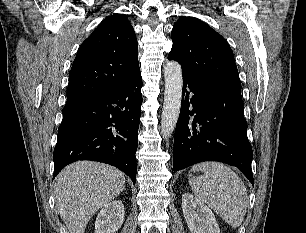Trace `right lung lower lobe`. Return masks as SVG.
I'll return each instance as SVG.
<instances>
[{
    "label": "right lung lower lobe",
    "mask_w": 306,
    "mask_h": 233,
    "mask_svg": "<svg viewBox=\"0 0 306 233\" xmlns=\"http://www.w3.org/2000/svg\"><path fill=\"white\" fill-rule=\"evenodd\" d=\"M141 88L139 72L109 95L63 109L53 179L66 165L91 160L119 168L135 183Z\"/></svg>",
    "instance_id": "obj_1"
}]
</instances>
